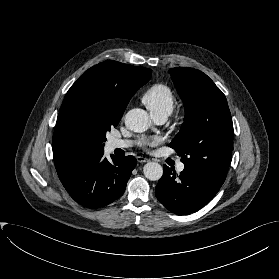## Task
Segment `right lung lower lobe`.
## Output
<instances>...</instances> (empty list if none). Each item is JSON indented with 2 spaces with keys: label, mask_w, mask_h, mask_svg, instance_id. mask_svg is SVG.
<instances>
[{
  "label": "right lung lower lobe",
  "mask_w": 279,
  "mask_h": 279,
  "mask_svg": "<svg viewBox=\"0 0 279 279\" xmlns=\"http://www.w3.org/2000/svg\"><path fill=\"white\" fill-rule=\"evenodd\" d=\"M103 154L78 158L56 169L71 197L87 208H102L117 200L136 165L133 156H112L109 162Z\"/></svg>",
  "instance_id": "obj_1"
}]
</instances>
